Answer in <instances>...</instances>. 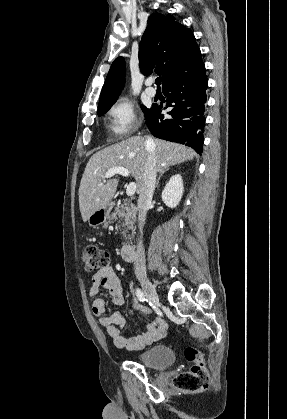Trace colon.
I'll return each instance as SVG.
<instances>
[{
    "mask_svg": "<svg viewBox=\"0 0 287 419\" xmlns=\"http://www.w3.org/2000/svg\"><path fill=\"white\" fill-rule=\"evenodd\" d=\"M82 258L86 272H94L107 267L109 254L97 246H86L82 251ZM185 358L192 362L191 368L173 378V385L182 390L198 391L208 385L209 375L201 353L193 347L184 351Z\"/></svg>",
    "mask_w": 287,
    "mask_h": 419,
    "instance_id": "5ec220e1",
    "label": "colon"
}]
</instances>
